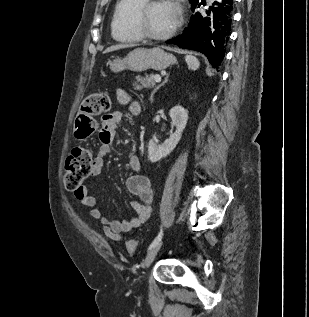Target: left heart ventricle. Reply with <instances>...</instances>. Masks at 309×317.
<instances>
[{"label":"left heart ventricle","mask_w":309,"mask_h":317,"mask_svg":"<svg viewBox=\"0 0 309 317\" xmlns=\"http://www.w3.org/2000/svg\"><path fill=\"white\" fill-rule=\"evenodd\" d=\"M177 16L169 2H160L148 11L145 19L147 29L154 34L167 33L176 23Z\"/></svg>","instance_id":"b2bd125f"}]
</instances>
